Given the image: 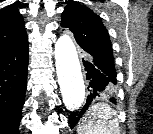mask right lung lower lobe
I'll use <instances>...</instances> for the list:
<instances>
[{
  "mask_svg": "<svg viewBox=\"0 0 153 134\" xmlns=\"http://www.w3.org/2000/svg\"><path fill=\"white\" fill-rule=\"evenodd\" d=\"M28 42L0 55V134H19L27 85Z\"/></svg>",
  "mask_w": 153,
  "mask_h": 134,
  "instance_id": "right-lung-lower-lobe-1",
  "label": "right lung lower lobe"
}]
</instances>
